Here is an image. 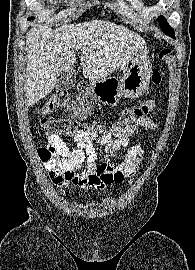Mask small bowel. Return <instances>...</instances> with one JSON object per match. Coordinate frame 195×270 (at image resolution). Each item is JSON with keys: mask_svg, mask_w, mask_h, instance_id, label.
Here are the masks:
<instances>
[{"mask_svg": "<svg viewBox=\"0 0 195 270\" xmlns=\"http://www.w3.org/2000/svg\"><path fill=\"white\" fill-rule=\"evenodd\" d=\"M154 131L156 124L149 116H143L133 124L118 127L113 125L101 136L95 127L80 128L75 135L76 147L70 149L58 136L48 139V147L53 148L63 159V167L70 180L81 188L106 190L111 184H120L125 178L133 177L144 161V148L136 142L120 164H115L113 157L121 148L128 146L131 137L138 128ZM96 145L104 146L103 161L98 163Z\"/></svg>", "mask_w": 195, "mask_h": 270, "instance_id": "obj_1", "label": "small bowel"}]
</instances>
